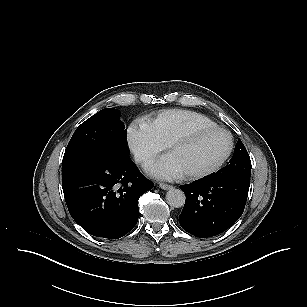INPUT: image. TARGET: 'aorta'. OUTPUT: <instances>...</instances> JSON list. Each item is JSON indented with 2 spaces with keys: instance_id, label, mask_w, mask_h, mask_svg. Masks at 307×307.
I'll list each match as a JSON object with an SVG mask.
<instances>
[{
  "instance_id": "obj_1",
  "label": "aorta",
  "mask_w": 307,
  "mask_h": 307,
  "mask_svg": "<svg viewBox=\"0 0 307 307\" xmlns=\"http://www.w3.org/2000/svg\"><path fill=\"white\" fill-rule=\"evenodd\" d=\"M167 203L173 208H180L185 204V194L182 190L171 188L166 193Z\"/></svg>"
}]
</instances>
